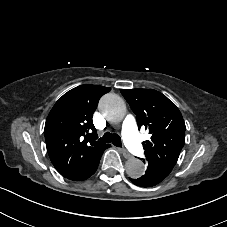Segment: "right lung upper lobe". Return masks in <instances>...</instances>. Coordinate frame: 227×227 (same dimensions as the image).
<instances>
[{
  "label": "right lung upper lobe",
  "mask_w": 227,
  "mask_h": 227,
  "mask_svg": "<svg viewBox=\"0 0 227 227\" xmlns=\"http://www.w3.org/2000/svg\"><path fill=\"white\" fill-rule=\"evenodd\" d=\"M111 88L81 85L65 93L53 106L45 123V140L54 167H82L88 156L110 145L97 141L92 115L102 95Z\"/></svg>",
  "instance_id": "1"
}]
</instances>
